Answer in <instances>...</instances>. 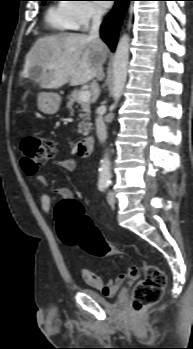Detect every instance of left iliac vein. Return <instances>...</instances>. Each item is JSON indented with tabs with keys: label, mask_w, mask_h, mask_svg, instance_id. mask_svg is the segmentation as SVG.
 <instances>
[{
	"label": "left iliac vein",
	"mask_w": 193,
	"mask_h": 349,
	"mask_svg": "<svg viewBox=\"0 0 193 349\" xmlns=\"http://www.w3.org/2000/svg\"><path fill=\"white\" fill-rule=\"evenodd\" d=\"M107 200L110 205H114L116 203V197L112 191L108 192Z\"/></svg>",
	"instance_id": "4c4485c4"
}]
</instances>
